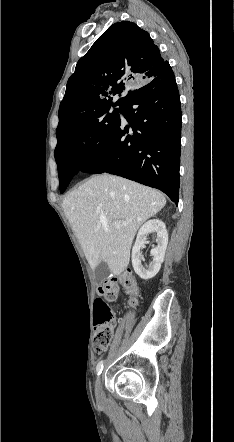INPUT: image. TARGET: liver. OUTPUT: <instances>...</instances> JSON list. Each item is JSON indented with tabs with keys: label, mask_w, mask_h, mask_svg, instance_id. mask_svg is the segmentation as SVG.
Wrapping results in <instances>:
<instances>
[{
	"label": "liver",
	"mask_w": 234,
	"mask_h": 442,
	"mask_svg": "<svg viewBox=\"0 0 234 442\" xmlns=\"http://www.w3.org/2000/svg\"><path fill=\"white\" fill-rule=\"evenodd\" d=\"M165 204L166 198L157 190L103 174L71 191L62 207L91 269L104 261L119 275L129 264L137 230ZM115 221L128 224L117 229Z\"/></svg>",
	"instance_id": "liver-1"
}]
</instances>
